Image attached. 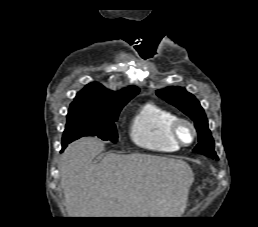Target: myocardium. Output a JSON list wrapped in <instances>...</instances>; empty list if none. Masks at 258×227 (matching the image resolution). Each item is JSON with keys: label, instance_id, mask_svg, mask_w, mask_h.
<instances>
[{"label": "myocardium", "instance_id": "f54148a6", "mask_svg": "<svg viewBox=\"0 0 258 227\" xmlns=\"http://www.w3.org/2000/svg\"><path fill=\"white\" fill-rule=\"evenodd\" d=\"M182 127H188L191 131V139L188 142L184 141L181 137ZM170 133L179 146H189L193 144L197 138V129L195 125L190 120L181 117H176L174 119L170 125Z\"/></svg>", "mask_w": 258, "mask_h": 227}]
</instances>
